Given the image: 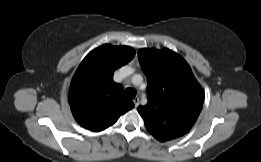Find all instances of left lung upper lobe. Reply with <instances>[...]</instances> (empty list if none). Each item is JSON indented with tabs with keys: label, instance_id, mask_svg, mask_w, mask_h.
Instances as JSON below:
<instances>
[{
	"label": "left lung upper lobe",
	"instance_id": "5c2ea615",
	"mask_svg": "<svg viewBox=\"0 0 261 162\" xmlns=\"http://www.w3.org/2000/svg\"><path fill=\"white\" fill-rule=\"evenodd\" d=\"M138 58L148 80V103L138 107L147 130L161 142L185 135L204 101L190 66L169 49H141Z\"/></svg>",
	"mask_w": 261,
	"mask_h": 162
}]
</instances>
